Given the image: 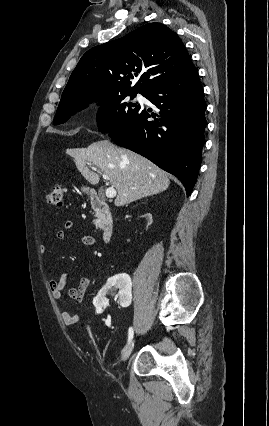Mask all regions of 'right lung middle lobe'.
Instances as JSON below:
<instances>
[{
    "mask_svg": "<svg viewBox=\"0 0 269 426\" xmlns=\"http://www.w3.org/2000/svg\"><path fill=\"white\" fill-rule=\"evenodd\" d=\"M138 92H122L110 95H92L61 98L55 118L54 125L67 121L70 116L77 113L93 102V99L102 103L98 109L97 125L99 131L105 133L118 128L124 121L140 109L137 103L125 100L127 96L134 99ZM142 95L144 93H141Z\"/></svg>",
    "mask_w": 269,
    "mask_h": 426,
    "instance_id": "dd1d6c3e",
    "label": "right lung middle lobe"
}]
</instances>
